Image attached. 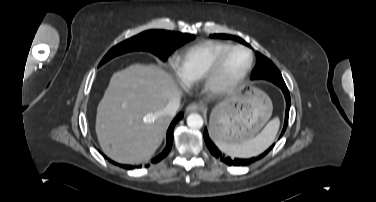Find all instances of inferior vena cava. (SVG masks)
<instances>
[{"instance_id": "1", "label": "inferior vena cava", "mask_w": 376, "mask_h": 202, "mask_svg": "<svg viewBox=\"0 0 376 202\" xmlns=\"http://www.w3.org/2000/svg\"><path fill=\"white\" fill-rule=\"evenodd\" d=\"M179 107H180V97L175 96L168 102L166 107L163 109L162 114L169 116V117H173L175 116Z\"/></svg>"}]
</instances>
